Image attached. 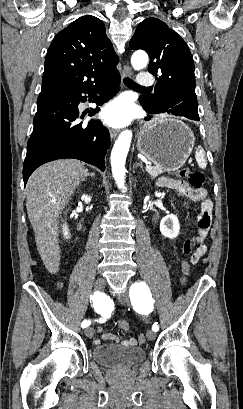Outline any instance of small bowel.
Returning a JSON list of instances; mask_svg holds the SVG:
<instances>
[{
    "label": "small bowel",
    "instance_id": "c3829d8e",
    "mask_svg": "<svg viewBox=\"0 0 243 409\" xmlns=\"http://www.w3.org/2000/svg\"><path fill=\"white\" fill-rule=\"evenodd\" d=\"M159 185L162 187H167L174 189L180 196L193 202H200V211L197 216L198 235L193 239L194 244H196L195 250L191 253L189 261L191 264L197 263L200 258L206 252V245L204 243L208 231L210 229L211 217H212V202L207 197V193L203 189H194L189 183L181 180H174L170 178H161L158 181ZM113 310V305L110 301L105 302L104 312L102 313V318L99 319L100 323L104 322L111 315ZM97 332L101 334L99 338L94 339V344L98 345L105 341H116L123 346L133 347L139 344V340L136 338H128L120 340L114 334L103 333V328L101 326L97 327Z\"/></svg>",
    "mask_w": 243,
    "mask_h": 409
}]
</instances>
